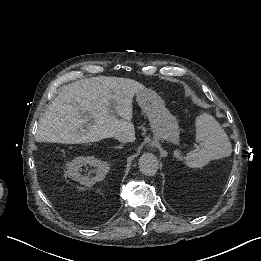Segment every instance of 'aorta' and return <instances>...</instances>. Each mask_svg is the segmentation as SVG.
Returning a JSON list of instances; mask_svg holds the SVG:
<instances>
[{
  "instance_id": "1",
  "label": "aorta",
  "mask_w": 261,
  "mask_h": 261,
  "mask_svg": "<svg viewBox=\"0 0 261 261\" xmlns=\"http://www.w3.org/2000/svg\"><path fill=\"white\" fill-rule=\"evenodd\" d=\"M158 167V160L151 153H145L139 159V169L146 176H154L158 171Z\"/></svg>"
}]
</instances>
